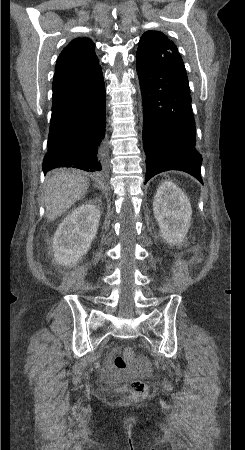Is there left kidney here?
Listing matches in <instances>:
<instances>
[{"mask_svg": "<svg viewBox=\"0 0 245 450\" xmlns=\"http://www.w3.org/2000/svg\"><path fill=\"white\" fill-rule=\"evenodd\" d=\"M153 213L162 238L170 245H180L188 232L192 215L185 193L171 182L162 183L154 197Z\"/></svg>", "mask_w": 245, "mask_h": 450, "instance_id": "left-kidney-1", "label": "left kidney"}]
</instances>
